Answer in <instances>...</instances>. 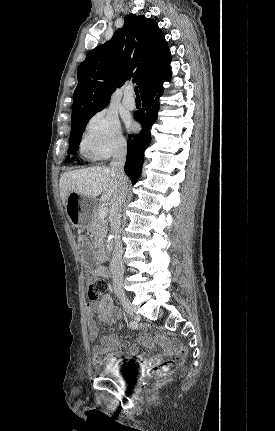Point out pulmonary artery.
Masks as SVG:
<instances>
[{
  "mask_svg": "<svg viewBox=\"0 0 275 431\" xmlns=\"http://www.w3.org/2000/svg\"><path fill=\"white\" fill-rule=\"evenodd\" d=\"M133 91L131 88H127L124 91V98H123V104L128 109H134L136 106L135 99L133 98Z\"/></svg>",
  "mask_w": 275,
  "mask_h": 431,
  "instance_id": "e3ab8cb5",
  "label": "pulmonary artery"
}]
</instances>
